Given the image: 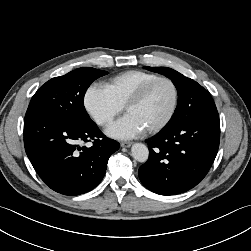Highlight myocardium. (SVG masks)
<instances>
[{
  "instance_id": "f54148a6",
  "label": "myocardium",
  "mask_w": 251,
  "mask_h": 251,
  "mask_svg": "<svg viewBox=\"0 0 251 251\" xmlns=\"http://www.w3.org/2000/svg\"><path fill=\"white\" fill-rule=\"evenodd\" d=\"M159 82H167L173 91V101H172V105L170 108L169 113L167 114V116L164 118V120H162L158 125L147 129L146 132L148 134H156L158 132H160L161 130H163L173 119L177 107H178V102H179V90L178 87L176 85V83L169 77L166 76H159L147 83H145L143 86H141L135 93L134 95L127 101V103L124 106L125 111L127 112L128 109L134 105H137L138 103H140L144 97L146 96V94L149 92V90L157 83Z\"/></svg>"
}]
</instances>
